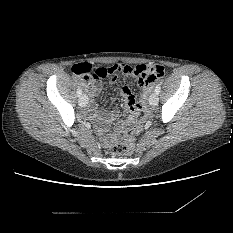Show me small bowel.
Returning a JSON list of instances; mask_svg holds the SVG:
<instances>
[{
    "mask_svg": "<svg viewBox=\"0 0 233 233\" xmlns=\"http://www.w3.org/2000/svg\"><path fill=\"white\" fill-rule=\"evenodd\" d=\"M138 84L142 88L143 96L145 97L152 86V83H146L138 80ZM84 88L93 98L100 92L102 84L100 80L91 79L86 85H84ZM121 94L125 100L129 114L127 115V119L125 121L119 122L115 125L113 132L110 134L105 133V127L118 116L119 110L112 109L109 111H104L99 108L96 101L92 100L91 102L88 113L90 117L98 123V134L103 146L110 145L120 135L127 133L128 131L135 134L139 132L136 113L131 110V108L135 105V101L130 87L127 85L124 86L121 90Z\"/></svg>",
    "mask_w": 233,
    "mask_h": 233,
    "instance_id": "c3829d8e",
    "label": "small bowel"
}]
</instances>
